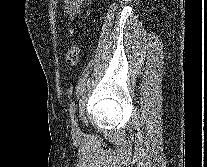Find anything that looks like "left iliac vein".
I'll use <instances>...</instances> for the list:
<instances>
[{"label": "left iliac vein", "instance_id": "4c4485c4", "mask_svg": "<svg viewBox=\"0 0 207 167\" xmlns=\"http://www.w3.org/2000/svg\"><path fill=\"white\" fill-rule=\"evenodd\" d=\"M72 133L74 135H77L79 133L78 123H77L76 119H74V118L72 120Z\"/></svg>", "mask_w": 207, "mask_h": 167}]
</instances>
